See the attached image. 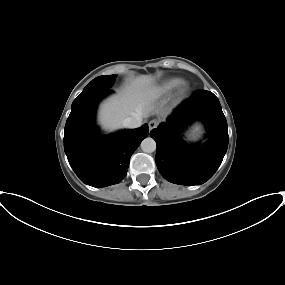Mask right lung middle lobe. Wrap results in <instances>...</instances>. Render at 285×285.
Returning a JSON list of instances; mask_svg holds the SVG:
<instances>
[{"instance_id": "right-lung-middle-lobe-1", "label": "right lung middle lobe", "mask_w": 285, "mask_h": 285, "mask_svg": "<svg viewBox=\"0 0 285 285\" xmlns=\"http://www.w3.org/2000/svg\"><path fill=\"white\" fill-rule=\"evenodd\" d=\"M116 75H107V76H99L93 79L82 91V93L74 100L73 103L78 101L85 95L96 93L98 91H102L104 89H109L113 84Z\"/></svg>"}]
</instances>
